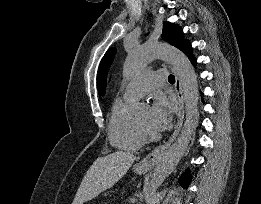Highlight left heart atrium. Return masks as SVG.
Instances as JSON below:
<instances>
[{"label":"left heart atrium","mask_w":261,"mask_h":204,"mask_svg":"<svg viewBox=\"0 0 261 204\" xmlns=\"http://www.w3.org/2000/svg\"><path fill=\"white\" fill-rule=\"evenodd\" d=\"M173 111L171 101L164 95L154 97L151 107V125L156 131H164L170 124Z\"/></svg>","instance_id":"obj_1"}]
</instances>
